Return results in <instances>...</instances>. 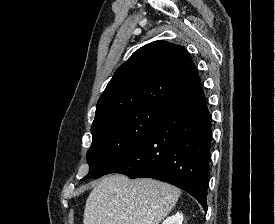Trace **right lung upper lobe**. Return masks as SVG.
Listing matches in <instances>:
<instances>
[{
    "label": "right lung upper lobe",
    "mask_w": 275,
    "mask_h": 224,
    "mask_svg": "<svg viewBox=\"0 0 275 224\" xmlns=\"http://www.w3.org/2000/svg\"><path fill=\"white\" fill-rule=\"evenodd\" d=\"M200 77L186 49L154 41L138 50L115 72L100 96L92 127L136 109H168L188 95Z\"/></svg>",
    "instance_id": "obj_1"
}]
</instances>
